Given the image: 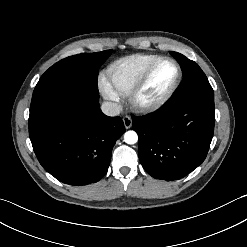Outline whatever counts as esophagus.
<instances>
[{"mask_svg": "<svg viewBox=\"0 0 247 247\" xmlns=\"http://www.w3.org/2000/svg\"><path fill=\"white\" fill-rule=\"evenodd\" d=\"M123 123H124L125 128L126 129H129L131 127V125H132V119H131V117L125 116L123 118Z\"/></svg>", "mask_w": 247, "mask_h": 247, "instance_id": "34e87169", "label": "esophagus"}]
</instances>
